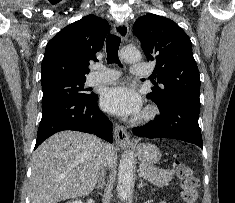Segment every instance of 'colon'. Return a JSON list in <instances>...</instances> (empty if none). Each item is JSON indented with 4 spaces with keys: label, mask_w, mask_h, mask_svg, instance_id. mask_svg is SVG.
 <instances>
[{
    "label": "colon",
    "mask_w": 235,
    "mask_h": 203,
    "mask_svg": "<svg viewBox=\"0 0 235 203\" xmlns=\"http://www.w3.org/2000/svg\"><path fill=\"white\" fill-rule=\"evenodd\" d=\"M175 172L179 179L181 198L184 203H197L199 198V182L193 175L192 169L185 163L177 161Z\"/></svg>",
    "instance_id": "5ec220e1"
}]
</instances>
